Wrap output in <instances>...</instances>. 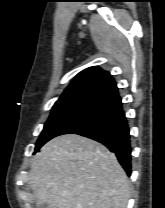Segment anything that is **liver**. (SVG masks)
<instances>
[{
    "label": "liver",
    "mask_w": 165,
    "mask_h": 208,
    "mask_svg": "<svg viewBox=\"0 0 165 208\" xmlns=\"http://www.w3.org/2000/svg\"><path fill=\"white\" fill-rule=\"evenodd\" d=\"M37 204L49 208H126L130 187L114 153L92 139L67 134L38 152L30 168Z\"/></svg>",
    "instance_id": "obj_1"
}]
</instances>
